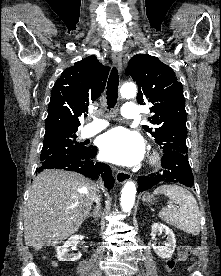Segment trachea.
Wrapping results in <instances>:
<instances>
[{"mask_svg": "<svg viewBox=\"0 0 221 276\" xmlns=\"http://www.w3.org/2000/svg\"><path fill=\"white\" fill-rule=\"evenodd\" d=\"M118 86H119L118 70L116 67H113L109 76L107 91H106L108 109L114 108L117 103Z\"/></svg>", "mask_w": 221, "mask_h": 276, "instance_id": "trachea-1", "label": "trachea"}]
</instances>
